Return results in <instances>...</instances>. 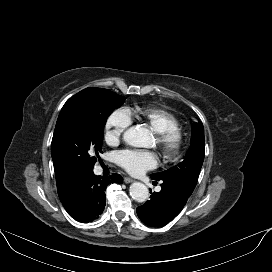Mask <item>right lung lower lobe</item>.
<instances>
[{
    "label": "right lung lower lobe",
    "mask_w": 272,
    "mask_h": 272,
    "mask_svg": "<svg viewBox=\"0 0 272 272\" xmlns=\"http://www.w3.org/2000/svg\"><path fill=\"white\" fill-rule=\"evenodd\" d=\"M122 182L123 178L119 174L102 178L92 171L84 175L61 202L75 220L83 223L92 222L104 210L107 186L110 183Z\"/></svg>",
    "instance_id": "obj_1"
}]
</instances>
